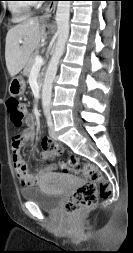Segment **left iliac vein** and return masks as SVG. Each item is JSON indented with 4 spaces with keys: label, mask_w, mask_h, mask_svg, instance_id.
<instances>
[{
    "label": "left iliac vein",
    "mask_w": 133,
    "mask_h": 253,
    "mask_svg": "<svg viewBox=\"0 0 133 253\" xmlns=\"http://www.w3.org/2000/svg\"><path fill=\"white\" fill-rule=\"evenodd\" d=\"M49 135L53 138V139H57V134L56 131L54 129V125L52 124V126H50L49 128Z\"/></svg>",
    "instance_id": "left-iliac-vein-1"
}]
</instances>
